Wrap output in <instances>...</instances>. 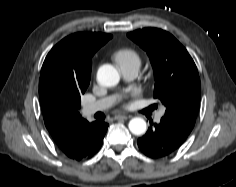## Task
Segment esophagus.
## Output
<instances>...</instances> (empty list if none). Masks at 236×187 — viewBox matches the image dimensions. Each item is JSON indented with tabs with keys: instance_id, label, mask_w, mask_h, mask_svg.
<instances>
[{
	"instance_id": "esophagus-1",
	"label": "esophagus",
	"mask_w": 236,
	"mask_h": 187,
	"mask_svg": "<svg viewBox=\"0 0 236 187\" xmlns=\"http://www.w3.org/2000/svg\"><path fill=\"white\" fill-rule=\"evenodd\" d=\"M127 118H128V116H126V115H116L114 117L115 120H120V119L126 120Z\"/></svg>"
}]
</instances>
